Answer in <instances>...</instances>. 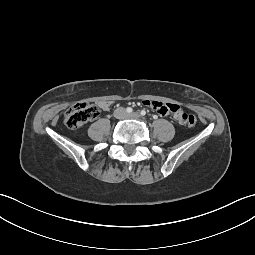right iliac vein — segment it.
Segmentation results:
<instances>
[{
  "label": "right iliac vein",
  "mask_w": 255,
  "mask_h": 255,
  "mask_svg": "<svg viewBox=\"0 0 255 255\" xmlns=\"http://www.w3.org/2000/svg\"><path fill=\"white\" fill-rule=\"evenodd\" d=\"M114 117L117 119H121L125 117V110L123 108H118L113 113Z\"/></svg>",
  "instance_id": "1"
}]
</instances>
